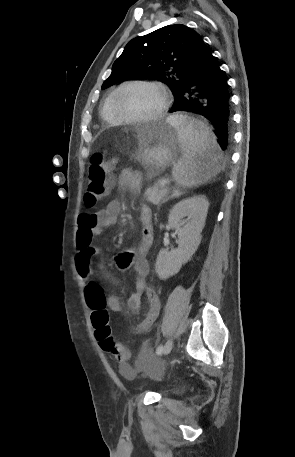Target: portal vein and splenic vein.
Here are the masks:
<instances>
[{"label":"portal vein and splenic vein","instance_id":"obj_1","mask_svg":"<svg viewBox=\"0 0 295 457\" xmlns=\"http://www.w3.org/2000/svg\"><path fill=\"white\" fill-rule=\"evenodd\" d=\"M167 182L168 181L166 179H162V180H160V185L165 186L167 184Z\"/></svg>","mask_w":295,"mask_h":457}]
</instances>
